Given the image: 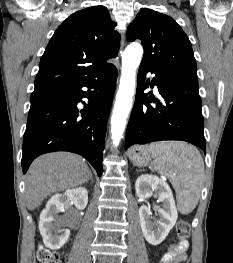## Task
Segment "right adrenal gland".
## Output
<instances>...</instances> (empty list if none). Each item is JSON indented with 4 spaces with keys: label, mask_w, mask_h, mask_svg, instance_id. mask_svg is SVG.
I'll list each match as a JSON object with an SVG mask.
<instances>
[{
    "label": "right adrenal gland",
    "mask_w": 233,
    "mask_h": 263,
    "mask_svg": "<svg viewBox=\"0 0 233 263\" xmlns=\"http://www.w3.org/2000/svg\"><path fill=\"white\" fill-rule=\"evenodd\" d=\"M89 180L93 183L92 174H90Z\"/></svg>",
    "instance_id": "2a0ac1e0"
}]
</instances>
